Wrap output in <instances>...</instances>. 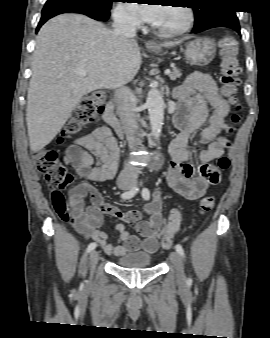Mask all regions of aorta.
<instances>
[{
    "instance_id": "obj_1",
    "label": "aorta",
    "mask_w": 270,
    "mask_h": 338,
    "mask_svg": "<svg viewBox=\"0 0 270 338\" xmlns=\"http://www.w3.org/2000/svg\"><path fill=\"white\" fill-rule=\"evenodd\" d=\"M146 105L149 113L152 136L158 139L162 132L164 121V100L160 91L153 87L149 90Z\"/></svg>"
}]
</instances>
